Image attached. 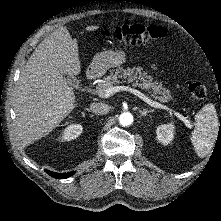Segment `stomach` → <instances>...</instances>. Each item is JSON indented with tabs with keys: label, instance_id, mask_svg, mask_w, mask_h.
Listing matches in <instances>:
<instances>
[{
	"label": "stomach",
	"instance_id": "1",
	"mask_svg": "<svg viewBox=\"0 0 221 221\" xmlns=\"http://www.w3.org/2000/svg\"><path fill=\"white\" fill-rule=\"evenodd\" d=\"M125 62V53L123 51H103L96 54L89 66V73L94 76H102L108 68L117 67Z\"/></svg>",
	"mask_w": 221,
	"mask_h": 221
}]
</instances>
